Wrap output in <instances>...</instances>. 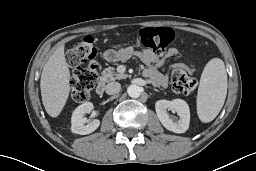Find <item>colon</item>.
<instances>
[{
    "mask_svg": "<svg viewBox=\"0 0 256 171\" xmlns=\"http://www.w3.org/2000/svg\"><path fill=\"white\" fill-rule=\"evenodd\" d=\"M172 40L173 31L168 27H144L138 32L136 45L154 54L163 55ZM97 53L95 40L88 35L74 43L67 54V61L74 68L71 79V99L75 103L87 101L98 81ZM193 70L187 64H177L173 67L170 80L176 92L189 94L195 90L196 80L191 76Z\"/></svg>",
    "mask_w": 256,
    "mask_h": 171,
    "instance_id": "1",
    "label": "colon"
}]
</instances>
